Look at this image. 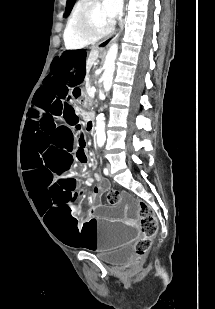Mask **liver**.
Returning a JSON list of instances; mask_svg holds the SVG:
<instances>
[{
	"label": "liver",
	"instance_id": "liver-1",
	"mask_svg": "<svg viewBox=\"0 0 215 309\" xmlns=\"http://www.w3.org/2000/svg\"><path fill=\"white\" fill-rule=\"evenodd\" d=\"M99 56V50L97 46H91V52L86 60V68L90 70L92 64H94L95 60H97Z\"/></svg>",
	"mask_w": 215,
	"mask_h": 309
}]
</instances>
